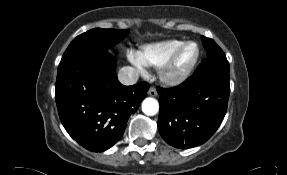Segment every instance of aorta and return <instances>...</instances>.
Returning <instances> with one entry per match:
<instances>
[{"mask_svg":"<svg viewBox=\"0 0 287 175\" xmlns=\"http://www.w3.org/2000/svg\"><path fill=\"white\" fill-rule=\"evenodd\" d=\"M142 111L147 116L156 115L159 111V103L155 98H146L142 102Z\"/></svg>","mask_w":287,"mask_h":175,"instance_id":"obj_1","label":"aorta"}]
</instances>
